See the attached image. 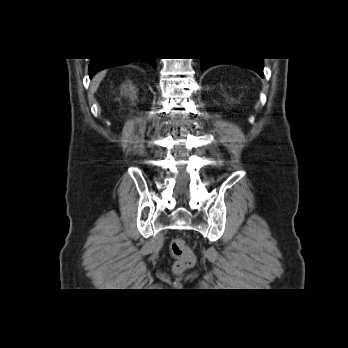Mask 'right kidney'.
<instances>
[{"label":"right kidney","instance_id":"ca27d5eb","mask_svg":"<svg viewBox=\"0 0 348 348\" xmlns=\"http://www.w3.org/2000/svg\"><path fill=\"white\" fill-rule=\"evenodd\" d=\"M122 92L125 93L126 95H129L132 100L136 98L137 90H135V87L132 85L130 81L122 85Z\"/></svg>","mask_w":348,"mask_h":348}]
</instances>
